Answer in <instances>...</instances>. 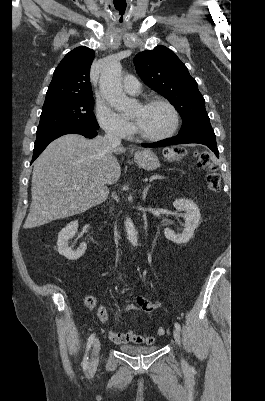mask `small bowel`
Returning a JSON list of instances; mask_svg holds the SVG:
<instances>
[{
	"mask_svg": "<svg viewBox=\"0 0 265 401\" xmlns=\"http://www.w3.org/2000/svg\"><path fill=\"white\" fill-rule=\"evenodd\" d=\"M159 302L151 301L149 299H145L142 297L137 298L136 304H127L124 307L125 311H142L148 315H152V313L159 307ZM98 318L103 324H107L108 322V313L105 307L101 306L98 309ZM108 337L109 339L116 344H146L152 345L155 343V338L153 336H143L135 334L131 331L125 332H115L111 328H108Z\"/></svg>",
	"mask_w": 265,
	"mask_h": 401,
	"instance_id": "1",
	"label": "small bowel"
}]
</instances>
